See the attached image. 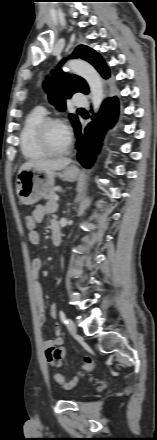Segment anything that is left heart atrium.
I'll list each match as a JSON object with an SVG mask.
<instances>
[{
	"instance_id": "obj_1",
	"label": "left heart atrium",
	"mask_w": 157,
	"mask_h": 440,
	"mask_svg": "<svg viewBox=\"0 0 157 440\" xmlns=\"http://www.w3.org/2000/svg\"><path fill=\"white\" fill-rule=\"evenodd\" d=\"M62 127H63V130H64L66 136L70 139V138H71V132H70V129H69L68 126H66V125H62Z\"/></svg>"
}]
</instances>
